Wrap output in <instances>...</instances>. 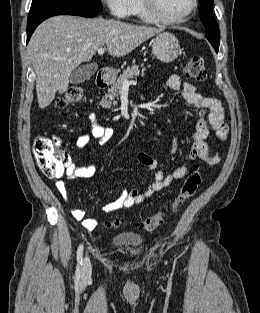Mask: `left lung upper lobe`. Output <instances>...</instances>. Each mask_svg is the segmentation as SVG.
I'll return each instance as SVG.
<instances>
[{"instance_id": "5c2ea615", "label": "left lung upper lobe", "mask_w": 260, "mask_h": 313, "mask_svg": "<svg viewBox=\"0 0 260 313\" xmlns=\"http://www.w3.org/2000/svg\"><path fill=\"white\" fill-rule=\"evenodd\" d=\"M201 8L199 9L201 20L206 29V37L212 46L218 51L219 48V30L216 20L213 16L212 6L214 0H199Z\"/></svg>"}]
</instances>
